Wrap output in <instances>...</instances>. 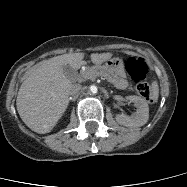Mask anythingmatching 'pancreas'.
Segmentation results:
<instances>
[{
	"label": "pancreas",
	"instance_id": "obj_1",
	"mask_svg": "<svg viewBox=\"0 0 187 187\" xmlns=\"http://www.w3.org/2000/svg\"><path fill=\"white\" fill-rule=\"evenodd\" d=\"M80 76L82 80H95L96 77L102 76L113 84L118 85V82L111 76L107 68L102 66L88 67L81 72Z\"/></svg>",
	"mask_w": 187,
	"mask_h": 187
}]
</instances>
